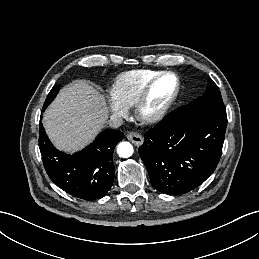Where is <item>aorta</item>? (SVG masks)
<instances>
[{
	"mask_svg": "<svg viewBox=\"0 0 259 259\" xmlns=\"http://www.w3.org/2000/svg\"><path fill=\"white\" fill-rule=\"evenodd\" d=\"M117 153L120 157L128 158L133 154V146L129 142H121L117 146Z\"/></svg>",
	"mask_w": 259,
	"mask_h": 259,
	"instance_id": "obj_1",
	"label": "aorta"
}]
</instances>
